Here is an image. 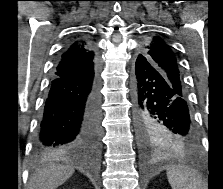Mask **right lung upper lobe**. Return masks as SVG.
<instances>
[{
  "label": "right lung upper lobe",
  "instance_id": "cb5924a9",
  "mask_svg": "<svg viewBox=\"0 0 223 189\" xmlns=\"http://www.w3.org/2000/svg\"><path fill=\"white\" fill-rule=\"evenodd\" d=\"M97 57L90 43L79 36L65 48L60 56L53 76H78L89 72L95 65Z\"/></svg>",
  "mask_w": 223,
  "mask_h": 189
}]
</instances>
